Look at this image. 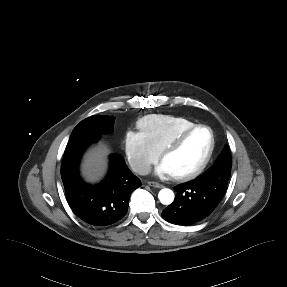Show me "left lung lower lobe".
Wrapping results in <instances>:
<instances>
[{
  "mask_svg": "<svg viewBox=\"0 0 287 287\" xmlns=\"http://www.w3.org/2000/svg\"><path fill=\"white\" fill-rule=\"evenodd\" d=\"M230 177L221 169H214L209 180L198 179L179 184L175 200L162 212L173 224L190 225L203 220L221 201Z\"/></svg>",
  "mask_w": 287,
  "mask_h": 287,
  "instance_id": "0a47b994",
  "label": "left lung lower lobe"
}]
</instances>
